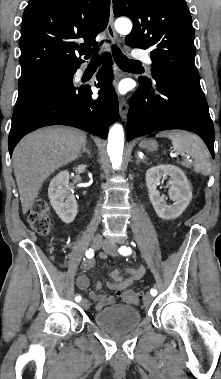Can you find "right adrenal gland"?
<instances>
[{"instance_id":"2a0ac1e0","label":"right adrenal gland","mask_w":221,"mask_h":379,"mask_svg":"<svg viewBox=\"0 0 221 379\" xmlns=\"http://www.w3.org/2000/svg\"><path fill=\"white\" fill-rule=\"evenodd\" d=\"M83 153H87L90 156V150L86 146L82 148V151L79 153V157H81Z\"/></svg>"}]
</instances>
